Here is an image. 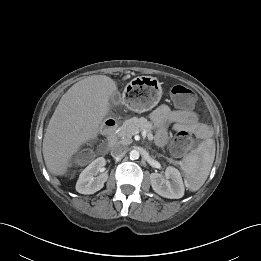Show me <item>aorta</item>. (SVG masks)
I'll return each instance as SVG.
<instances>
[{"mask_svg":"<svg viewBox=\"0 0 261 261\" xmlns=\"http://www.w3.org/2000/svg\"><path fill=\"white\" fill-rule=\"evenodd\" d=\"M129 155H130L131 160H136L140 156L139 151H137V150L130 151Z\"/></svg>","mask_w":261,"mask_h":261,"instance_id":"762f6f07","label":"aorta"}]
</instances>
